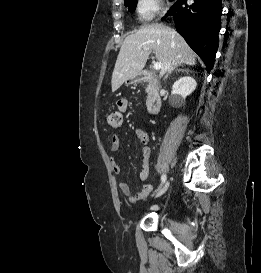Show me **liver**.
<instances>
[{
  "mask_svg": "<svg viewBox=\"0 0 261 273\" xmlns=\"http://www.w3.org/2000/svg\"><path fill=\"white\" fill-rule=\"evenodd\" d=\"M152 50L161 63L160 75L177 65L196 64L195 53L175 30L162 24L143 26L135 34L126 37L120 48L112 73L113 92L125 81L141 74Z\"/></svg>",
  "mask_w": 261,
  "mask_h": 273,
  "instance_id": "1",
  "label": "liver"
}]
</instances>
